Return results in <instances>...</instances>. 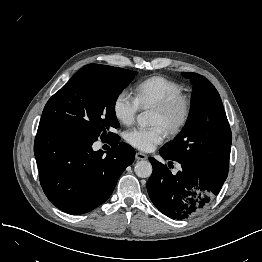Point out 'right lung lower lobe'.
Segmentation results:
<instances>
[{"instance_id":"obj_1","label":"right lung lower lobe","mask_w":262,"mask_h":262,"mask_svg":"<svg viewBox=\"0 0 262 262\" xmlns=\"http://www.w3.org/2000/svg\"><path fill=\"white\" fill-rule=\"evenodd\" d=\"M97 139L79 133L42 125L34 143L40 183L47 198L63 212L77 215L104 203L118 178L134 161V149L110 139L111 149L103 156L94 151Z\"/></svg>"}]
</instances>
